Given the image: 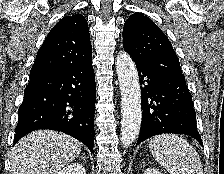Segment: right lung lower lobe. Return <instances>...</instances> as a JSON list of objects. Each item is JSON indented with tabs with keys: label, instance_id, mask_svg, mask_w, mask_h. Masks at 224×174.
Here are the masks:
<instances>
[{
	"label": "right lung lower lobe",
	"instance_id": "obj_1",
	"mask_svg": "<svg viewBox=\"0 0 224 174\" xmlns=\"http://www.w3.org/2000/svg\"><path fill=\"white\" fill-rule=\"evenodd\" d=\"M95 101L92 58L31 74L18 110L14 144L34 130L52 129L78 139L92 152Z\"/></svg>",
	"mask_w": 224,
	"mask_h": 174
}]
</instances>
